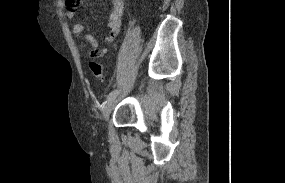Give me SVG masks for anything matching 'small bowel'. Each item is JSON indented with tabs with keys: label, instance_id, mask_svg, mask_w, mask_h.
I'll return each mask as SVG.
<instances>
[{
	"label": "small bowel",
	"instance_id": "small-bowel-1",
	"mask_svg": "<svg viewBox=\"0 0 285 183\" xmlns=\"http://www.w3.org/2000/svg\"><path fill=\"white\" fill-rule=\"evenodd\" d=\"M112 9L108 17V30L109 33L105 38L106 44L113 43L121 29L122 16L124 13L125 3L124 0H110ZM76 7V3H73ZM67 6V4H66ZM66 16L70 20L76 18L75 8L71 9L67 6ZM72 32L75 37L81 40L80 48L84 52L87 58L90 60H97L107 54V47H99L97 40L90 34H84V26L81 23H74L72 26Z\"/></svg>",
	"mask_w": 285,
	"mask_h": 183
}]
</instances>
